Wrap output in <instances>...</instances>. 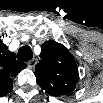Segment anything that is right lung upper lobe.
Masks as SVG:
<instances>
[{
  "instance_id": "1",
  "label": "right lung upper lobe",
  "mask_w": 103,
  "mask_h": 103,
  "mask_svg": "<svg viewBox=\"0 0 103 103\" xmlns=\"http://www.w3.org/2000/svg\"><path fill=\"white\" fill-rule=\"evenodd\" d=\"M26 64L15 59V54L0 41V87L4 94L12 89V76H15Z\"/></svg>"
}]
</instances>
